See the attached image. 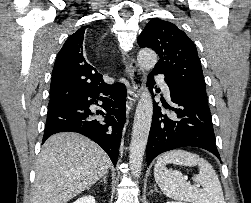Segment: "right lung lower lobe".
Wrapping results in <instances>:
<instances>
[{
	"instance_id": "right-lung-lower-lobe-1",
	"label": "right lung lower lobe",
	"mask_w": 251,
	"mask_h": 203,
	"mask_svg": "<svg viewBox=\"0 0 251 203\" xmlns=\"http://www.w3.org/2000/svg\"><path fill=\"white\" fill-rule=\"evenodd\" d=\"M102 110L93 113L89 107L98 105ZM99 106V105H98ZM126 114V87L122 83L90 87L72 100L48 108L42 143L59 132H77L100 145L114 165ZM97 115L104 117L100 120Z\"/></svg>"
}]
</instances>
